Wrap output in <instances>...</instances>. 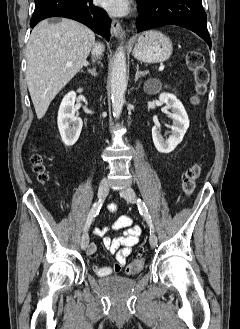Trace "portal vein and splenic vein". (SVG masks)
Segmentation results:
<instances>
[{"instance_id": "obj_1", "label": "portal vein and splenic vein", "mask_w": 240, "mask_h": 329, "mask_svg": "<svg viewBox=\"0 0 240 329\" xmlns=\"http://www.w3.org/2000/svg\"><path fill=\"white\" fill-rule=\"evenodd\" d=\"M70 66H71V65H68V67H70ZM164 68H165V65H164V64H161V65L159 66V71H163Z\"/></svg>"}]
</instances>
